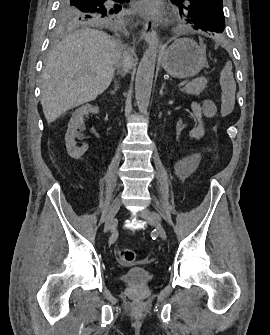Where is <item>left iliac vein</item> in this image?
I'll return each mask as SVG.
<instances>
[{"mask_svg":"<svg viewBox=\"0 0 270 335\" xmlns=\"http://www.w3.org/2000/svg\"><path fill=\"white\" fill-rule=\"evenodd\" d=\"M139 216L151 224H153L156 228L157 233L160 235L162 239L167 238V234L165 229L163 228L162 224L155 219V217L152 215V213L148 209H144L141 212H139Z\"/></svg>","mask_w":270,"mask_h":335,"instance_id":"1","label":"left iliac vein"}]
</instances>
